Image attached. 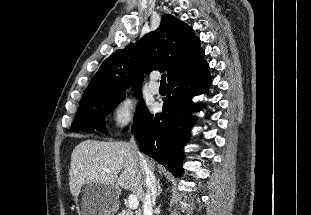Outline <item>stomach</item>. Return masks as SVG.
I'll list each match as a JSON object with an SVG mask.
<instances>
[{
  "mask_svg": "<svg viewBox=\"0 0 311 215\" xmlns=\"http://www.w3.org/2000/svg\"><path fill=\"white\" fill-rule=\"evenodd\" d=\"M119 191L112 185L90 182L75 197L79 215H114L118 209Z\"/></svg>",
  "mask_w": 311,
  "mask_h": 215,
  "instance_id": "obj_1",
  "label": "stomach"
}]
</instances>
